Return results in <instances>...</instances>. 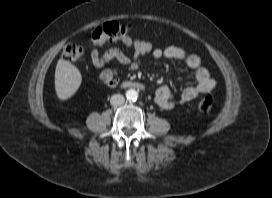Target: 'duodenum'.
I'll list each match as a JSON object with an SVG mask.
<instances>
[{
    "label": "duodenum",
    "instance_id": "1",
    "mask_svg": "<svg viewBox=\"0 0 272 198\" xmlns=\"http://www.w3.org/2000/svg\"><path fill=\"white\" fill-rule=\"evenodd\" d=\"M123 87H132V88H137V89H142L143 85L137 82H124L122 84Z\"/></svg>",
    "mask_w": 272,
    "mask_h": 198
}]
</instances>
